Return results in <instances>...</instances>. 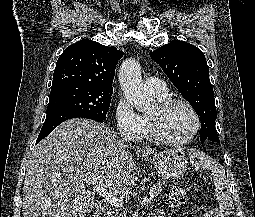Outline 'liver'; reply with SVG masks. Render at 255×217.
Instances as JSON below:
<instances>
[{"mask_svg":"<svg viewBox=\"0 0 255 217\" xmlns=\"http://www.w3.org/2000/svg\"><path fill=\"white\" fill-rule=\"evenodd\" d=\"M154 153L149 146L135 155ZM199 152L190 150L191 159ZM139 169L127 146L104 124L74 118L60 124L33 150L23 187L24 217H84L95 205L88 187L113 195L129 191Z\"/></svg>","mask_w":255,"mask_h":217,"instance_id":"6515ba94","label":"liver"}]
</instances>
